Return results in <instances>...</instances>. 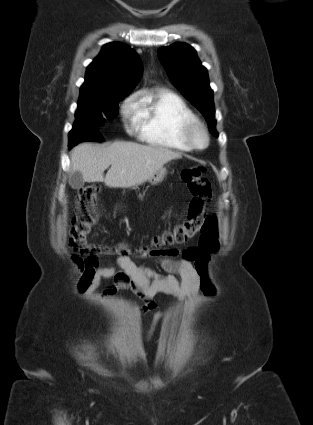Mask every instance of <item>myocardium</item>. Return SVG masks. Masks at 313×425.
I'll use <instances>...</instances> for the list:
<instances>
[{
    "mask_svg": "<svg viewBox=\"0 0 313 425\" xmlns=\"http://www.w3.org/2000/svg\"><path fill=\"white\" fill-rule=\"evenodd\" d=\"M198 134H201L204 139V143L202 145L198 144L196 141V136ZM182 137L193 149L202 150L209 145L208 129L204 123L197 119L184 125Z\"/></svg>",
    "mask_w": 313,
    "mask_h": 425,
    "instance_id": "myocardium-1",
    "label": "myocardium"
}]
</instances>
